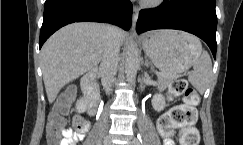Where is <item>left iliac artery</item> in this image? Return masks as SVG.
Masks as SVG:
<instances>
[{
	"instance_id": "left-iliac-artery-1",
	"label": "left iliac artery",
	"mask_w": 243,
	"mask_h": 145,
	"mask_svg": "<svg viewBox=\"0 0 243 145\" xmlns=\"http://www.w3.org/2000/svg\"><path fill=\"white\" fill-rule=\"evenodd\" d=\"M134 142L136 143V145H142V140L139 136L138 138H134Z\"/></svg>"
}]
</instances>
